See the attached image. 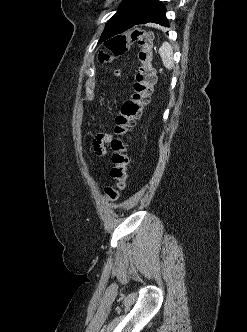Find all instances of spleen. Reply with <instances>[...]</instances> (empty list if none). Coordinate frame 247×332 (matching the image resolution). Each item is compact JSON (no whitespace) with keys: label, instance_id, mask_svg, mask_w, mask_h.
Returning <instances> with one entry per match:
<instances>
[{"label":"spleen","instance_id":"3e777b00","mask_svg":"<svg viewBox=\"0 0 247 332\" xmlns=\"http://www.w3.org/2000/svg\"><path fill=\"white\" fill-rule=\"evenodd\" d=\"M160 56L162 58L163 65L167 69H172L174 66L173 61V49L171 45L167 42L163 43V45L159 49Z\"/></svg>","mask_w":247,"mask_h":332}]
</instances>
